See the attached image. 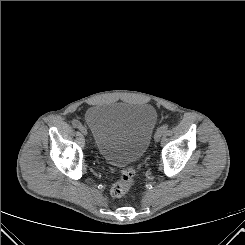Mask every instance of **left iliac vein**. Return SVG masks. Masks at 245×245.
I'll return each instance as SVG.
<instances>
[{
	"label": "left iliac vein",
	"instance_id": "4c4485c4",
	"mask_svg": "<svg viewBox=\"0 0 245 245\" xmlns=\"http://www.w3.org/2000/svg\"><path fill=\"white\" fill-rule=\"evenodd\" d=\"M162 134H163V132L161 131V130H157L156 131V133H155V135H154V140L156 141V142H159V140L161 139V137H162Z\"/></svg>",
	"mask_w": 245,
	"mask_h": 245
}]
</instances>
